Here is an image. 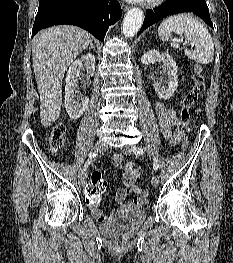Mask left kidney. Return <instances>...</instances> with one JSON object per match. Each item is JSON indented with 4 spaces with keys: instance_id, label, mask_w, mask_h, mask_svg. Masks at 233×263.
Segmentation results:
<instances>
[{
    "instance_id": "5707ae66",
    "label": "left kidney",
    "mask_w": 233,
    "mask_h": 263,
    "mask_svg": "<svg viewBox=\"0 0 233 263\" xmlns=\"http://www.w3.org/2000/svg\"><path fill=\"white\" fill-rule=\"evenodd\" d=\"M156 61L163 63V72L168 75L167 80H157L153 86L160 99L167 100L171 98L178 87V67L174 59L168 53H160L158 50H149L141 57V63L150 65Z\"/></svg>"
}]
</instances>
